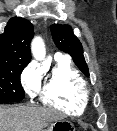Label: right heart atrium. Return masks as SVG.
<instances>
[{"label":"right heart atrium","instance_id":"obj_1","mask_svg":"<svg viewBox=\"0 0 117 131\" xmlns=\"http://www.w3.org/2000/svg\"><path fill=\"white\" fill-rule=\"evenodd\" d=\"M21 83L26 93L29 96H34L40 88V71L34 65L27 66L22 72Z\"/></svg>","mask_w":117,"mask_h":131}]
</instances>
